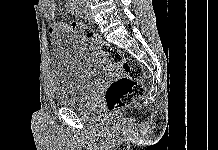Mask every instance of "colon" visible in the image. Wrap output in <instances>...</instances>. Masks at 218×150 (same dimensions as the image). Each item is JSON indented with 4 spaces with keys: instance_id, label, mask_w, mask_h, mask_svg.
Returning a JSON list of instances; mask_svg holds the SVG:
<instances>
[{
    "instance_id": "colon-1",
    "label": "colon",
    "mask_w": 218,
    "mask_h": 150,
    "mask_svg": "<svg viewBox=\"0 0 218 150\" xmlns=\"http://www.w3.org/2000/svg\"><path fill=\"white\" fill-rule=\"evenodd\" d=\"M70 29L82 33L109 61L117 65L122 74L113 79L105 91V104L110 113H115L126 105L138 100L144 93V69L137 61L126 57L123 52L111 46L97 33L76 20L70 23Z\"/></svg>"
}]
</instances>
